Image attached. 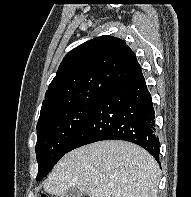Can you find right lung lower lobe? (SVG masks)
<instances>
[{
	"instance_id": "right-lung-lower-lobe-1",
	"label": "right lung lower lobe",
	"mask_w": 191,
	"mask_h": 197,
	"mask_svg": "<svg viewBox=\"0 0 191 197\" xmlns=\"http://www.w3.org/2000/svg\"><path fill=\"white\" fill-rule=\"evenodd\" d=\"M107 139L140 145L159 162L155 111L142 72L113 85L103 94L67 152Z\"/></svg>"
}]
</instances>
